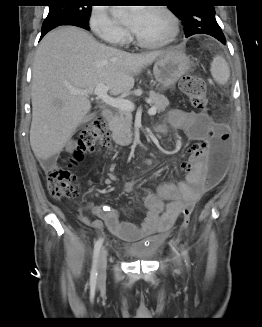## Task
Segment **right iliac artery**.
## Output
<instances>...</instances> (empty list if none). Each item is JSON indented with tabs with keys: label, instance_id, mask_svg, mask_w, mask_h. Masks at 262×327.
Returning a JSON list of instances; mask_svg holds the SVG:
<instances>
[{
	"label": "right iliac artery",
	"instance_id": "1",
	"mask_svg": "<svg viewBox=\"0 0 262 327\" xmlns=\"http://www.w3.org/2000/svg\"><path fill=\"white\" fill-rule=\"evenodd\" d=\"M103 244V238H99L94 246V257H93V265L91 269V274H90V285L95 286L96 285V279H97V262H98V256L100 249Z\"/></svg>",
	"mask_w": 262,
	"mask_h": 327
}]
</instances>
